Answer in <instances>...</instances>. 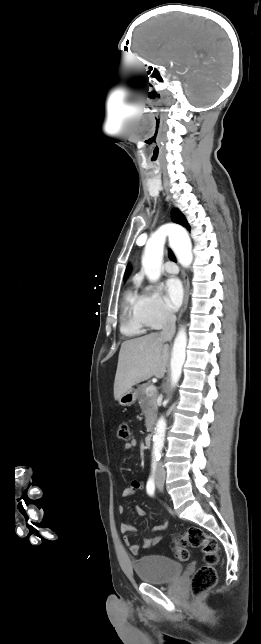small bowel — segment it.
Instances as JSON below:
<instances>
[{
	"label": "small bowel",
	"instance_id": "small-bowel-1",
	"mask_svg": "<svg viewBox=\"0 0 261 644\" xmlns=\"http://www.w3.org/2000/svg\"><path fill=\"white\" fill-rule=\"evenodd\" d=\"M136 445H137L136 440H132V441H130V442H128V443H126L124 445V450H131V449L135 448ZM142 487H143L142 482L133 481V482H131V484L129 486L124 488V490L122 491V496L124 498L131 497L138 490H140ZM119 509H120V512L124 511L123 506H120ZM135 512L140 517L145 516V510L140 506L135 507ZM167 525H168L167 521L163 520L161 523H159L157 525H154L152 527V531L153 532L163 531V530H165L167 528ZM120 530L124 534V542H125V544L129 547L130 552L132 554H134V555H137L140 552L141 548L149 549V548L155 546L156 544H158L160 542V540H161V536H156V537H153V538H145V539H143L142 544L139 545V544L133 543L131 538H130V536H129L130 533L135 531V528L131 524L122 523L120 525Z\"/></svg>",
	"mask_w": 261,
	"mask_h": 644
}]
</instances>
